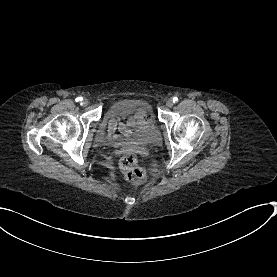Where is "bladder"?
I'll list each match as a JSON object with an SVG mask.
<instances>
[{
    "instance_id": "31cf9c89",
    "label": "bladder",
    "mask_w": 277,
    "mask_h": 277,
    "mask_svg": "<svg viewBox=\"0 0 277 277\" xmlns=\"http://www.w3.org/2000/svg\"><path fill=\"white\" fill-rule=\"evenodd\" d=\"M135 115H142L146 120L144 126L135 131L133 139L139 143H149L159 133V126L152 115L151 103L147 99L119 98L111 102L103 115V121L112 123L125 121Z\"/></svg>"
}]
</instances>
